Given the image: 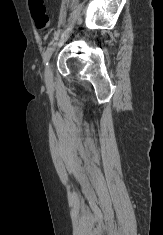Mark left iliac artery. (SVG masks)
<instances>
[{
    "instance_id": "obj_1",
    "label": "left iliac artery",
    "mask_w": 163,
    "mask_h": 235,
    "mask_svg": "<svg viewBox=\"0 0 163 235\" xmlns=\"http://www.w3.org/2000/svg\"><path fill=\"white\" fill-rule=\"evenodd\" d=\"M56 43H51L47 50L45 51L44 55H43V61H44V64H48V61L54 51V47H55Z\"/></svg>"
}]
</instances>
